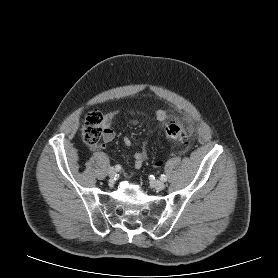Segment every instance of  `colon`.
I'll list each match as a JSON object with an SVG mask.
<instances>
[{"label":"colon","instance_id":"5ec220e1","mask_svg":"<svg viewBox=\"0 0 278 278\" xmlns=\"http://www.w3.org/2000/svg\"><path fill=\"white\" fill-rule=\"evenodd\" d=\"M103 114L98 111L88 113L82 129L84 142L90 147L99 145L101 136L103 135ZM163 135L165 138L181 143H186L188 132L186 127L180 122H172L164 127Z\"/></svg>","mask_w":278,"mask_h":278}]
</instances>
